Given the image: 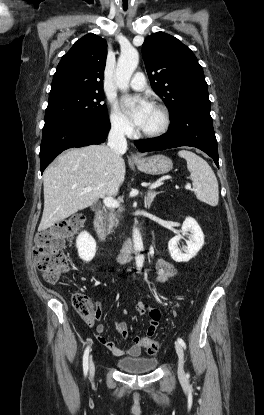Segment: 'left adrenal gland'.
<instances>
[{"instance_id": "a2214340", "label": "left adrenal gland", "mask_w": 264, "mask_h": 415, "mask_svg": "<svg viewBox=\"0 0 264 415\" xmlns=\"http://www.w3.org/2000/svg\"><path fill=\"white\" fill-rule=\"evenodd\" d=\"M161 192H156V191H148L147 196H145V204L148 206V208L150 209V206L154 200V198L156 197L157 194H159Z\"/></svg>"}]
</instances>
